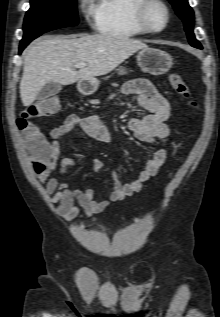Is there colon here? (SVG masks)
I'll return each instance as SVG.
<instances>
[{
    "mask_svg": "<svg viewBox=\"0 0 220 317\" xmlns=\"http://www.w3.org/2000/svg\"><path fill=\"white\" fill-rule=\"evenodd\" d=\"M168 80L177 94L188 101L191 106H196V102L190 97L187 84L179 74L171 73ZM59 108V98L48 96L29 106L16 119L17 128L22 135L23 145L31 157L32 166L35 168L43 169L50 162L52 145L34 123V120L53 115Z\"/></svg>",
    "mask_w": 220,
    "mask_h": 317,
    "instance_id": "1",
    "label": "colon"
}]
</instances>
